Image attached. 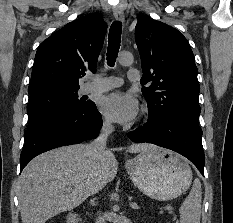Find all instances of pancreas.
<instances>
[{"label":"pancreas","mask_w":233,"mask_h":223,"mask_svg":"<svg viewBox=\"0 0 233 223\" xmlns=\"http://www.w3.org/2000/svg\"><path fill=\"white\" fill-rule=\"evenodd\" d=\"M167 209H173V207H170V205H169V207H167ZM160 213H162V211H160ZM169 213H173V211H169Z\"/></svg>","instance_id":"obj_1"}]
</instances>
